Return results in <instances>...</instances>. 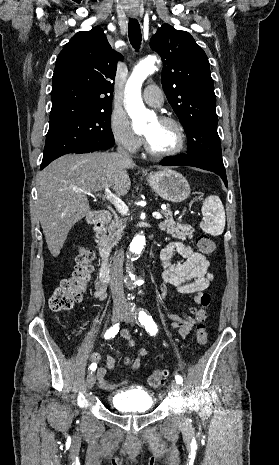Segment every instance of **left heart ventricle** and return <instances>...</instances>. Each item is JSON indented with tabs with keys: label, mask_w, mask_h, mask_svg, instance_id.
<instances>
[{
	"label": "left heart ventricle",
	"mask_w": 279,
	"mask_h": 465,
	"mask_svg": "<svg viewBox=\"0 0 279 465\" xmlns=\"http://www.w3.org/2000/svg\"><path fill=\"white\" fill-rule=\"evenodd\" d=\"M151 147L158 152H167L178 144V132L176 128L167 123H161L157 119L150 122L143 130Z\"/></svg>",
	"instance_id": "1"
}]
</instances>
